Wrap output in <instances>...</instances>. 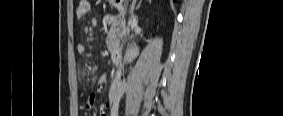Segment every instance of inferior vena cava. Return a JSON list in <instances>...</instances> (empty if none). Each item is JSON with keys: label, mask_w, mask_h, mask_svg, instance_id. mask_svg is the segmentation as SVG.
I'll return each mask as SVG.
<instances>
[{"label": "inferior vena cava", "mask_w": 283, "mask_h": 116, "mask_svg": "<svg viewBox=\"0 0 283 116\" xmlns=\"http://www.w3.org/2000/svg\"><path fill=\"white\" fill-rule=\"evenodd\" d=\"M132 21H134V16H132Z\"/></svg>", "instance_id": "602c4592"}]
</instances>
